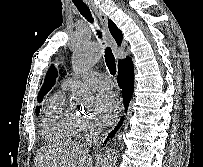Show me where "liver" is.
<instances>
[{
    "label": "liver",
    "mask_w": 203,
    "mask_h": 167,
    "mask_svg": "<svg viewBox=\"0 0 203 167\" xmlns=\"http://www.w3.org/2000/svg\"><path fill=\"white\" fill-rule=\"evenodd\" d=\"M35 167H93L87 144L67 143L40 150Z\"/></svg>",
    "instance_id": "1"
}]
</instances>
